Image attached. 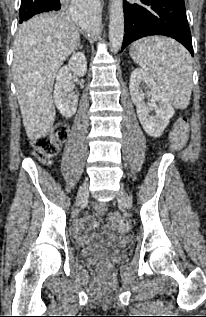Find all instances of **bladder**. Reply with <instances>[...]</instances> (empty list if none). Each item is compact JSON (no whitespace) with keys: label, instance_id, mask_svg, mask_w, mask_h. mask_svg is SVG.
<instances>
[{"label":"bladder","instance_id":"31cf9c89","mask_svg":"<svg viewBox=\"0 0 206 317\" xmlns=\"http://www.w3.org/2000/svg\"><path fill=\"white\" fill-rule=\"evenodd\" d=\"M122 252V248L114 247L105 240H97L92 244L80 248L78 256L82 259H91L103 255L120 254Z\"/></svg>","mask_w":206,"mask_h":317}]
</instances>
